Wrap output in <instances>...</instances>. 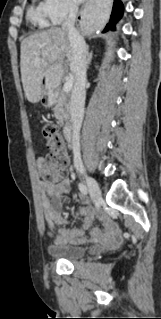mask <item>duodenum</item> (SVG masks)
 Returning <instances> with one entry per match:
<instances>
[{"label": "duodenum", "mask_w": 161, "mask_h": 319, "mask_svg": "<svg viewBox=\"0 0 161 319\" xmlns=\"http://www.w3.org/2000/svg\"><path fill=\"white\" fill-rule=\"evenodd\" d=\"M64 136L69 144L73 142V131L69 124L64 125Z\"/></svg>", "instance_id": "duodenum-1"}]
</instances>
